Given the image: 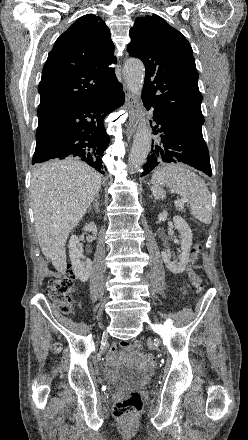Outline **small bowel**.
Here are the masks:
<instances>
[{"label": "small bowel", "instance_id": "small-bowel-1", "mask_svg": "<svg viewBox=\"0 0 248 440\" xmlns=\"http://www.w3.org/2000/svg\"><path fill=\"white\" fill-rule=\"evenodd\" d=\"M131 345V340L129 338H122L120 340V346L124 349H128L127 347H129ZM140 359H144L143 356H139ZM107 361L110 364H115L118 361V355H117V345L113 344L109 350V353L107 355Z\"/></svg>", "mask_w": 248, "mask_h": 440}]
</instances>
